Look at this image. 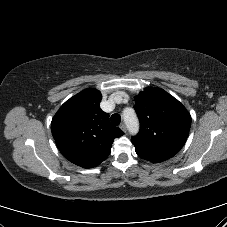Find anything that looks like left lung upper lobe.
I'll use <instances>...</instances> for the list:
<instances>
[{
  "instance_id": "1",
  "label": "left lung upper lobe",
  "mask_w": 227,
  "mask_h": 227,
  "mask_svg": "<svg viewBox=\"0 0 227 227\" xmlns=\"http://www.w3.org/2000/svg\"><path fill=\"white\" fill-rule=\"evenodd\" d=\"M140 121L138 135L131 137L136 153L153 163L173 157L189 134L191 116L173 96L160 88H146L135 97Z\"/></svg>"
}]
</instances>
